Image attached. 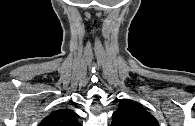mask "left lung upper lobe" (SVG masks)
<instances>
[{
    "mask_svg": "<svg viewBox=\"0 0 195 126\" xmlns=\"http://www.w3.org/2000/svg\"><path fill=\"white\" fill-rule=\"evenodd\" d=\"M111 126H159L158 121L138 102L122 99L112 116Z\"/></svg>",
    "mask_w": 195,
    "mask_h": 126,
    "instance_id": "obj_1",
    "label": "left lung upper lobe"
}]
</instances>
